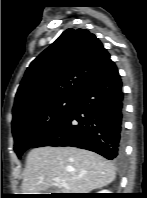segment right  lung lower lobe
I'll use <instances>...</instances> for the list:
<instances>
[{
    "label": "right lung lower lobe",
    "instance_id": "obj_1",
    "mask_svg": "<svg viewBox=\"0 0 147 198\" xmlns=\"http://www.w3.org/2000/svg\"><path fill=\"white\" fill-rule=\"evenodd\" d=\"M122 82L114 62L84 89L64 119L32 147L74 146L109 160L122 156Z\"/></svg>",
    "mask_w": 147,
    "mask_h": 198
}]
</instances>
